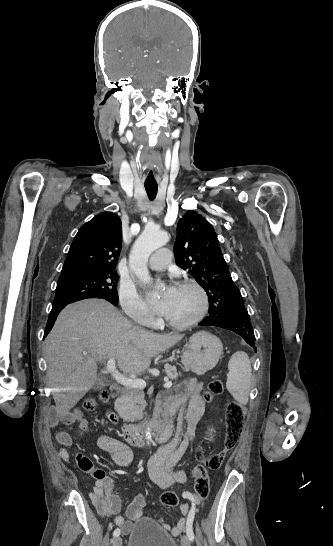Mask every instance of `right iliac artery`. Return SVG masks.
Here are the masks:
<instances>
[{
	"label": "right iliac artery",
	"mask_w": 333,
	"mask_h": 546,
	"mask_svg": "<svg viewBox=\"0 0 333 546\" xmlns=\"http://www.w3.org/2000/svg\"><path fill=\"white\" fill-rule=\"evenodd\" d=\"M120 535V529H115L114 532H113V536L114 537H118Z\"/></svg>",
	"instance_id": "82829eb1"
}]
</instances>
